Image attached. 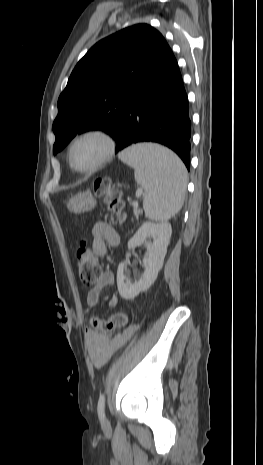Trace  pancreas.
Returning <instances> with one entry per match:
<instances>
[{
	"instance_id": "obj_1",
	"label": "pancreas",
	"mask_w": 263,
	"mask_h": 465,
	"mask_svg": "<svg viewBox=\"0 0 263 465\" xmlns=\"http://www.w3.org/2000/svg\"><path fill=\"white\" fill-rule=\"evenodd\" d=\"M133 212H134V215L136 216V218H138L139 215L142 214V210L138 209V207H134Z\"/></svg>"
}]
</instances>
